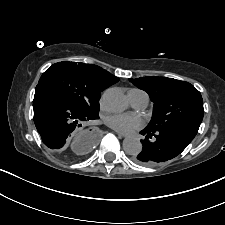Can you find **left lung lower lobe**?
<instances>
[{"label":"left lung lower lobe","instance_id":"0a47b994","mask_svg":"<svg viewBox=\"0 0 225 225\" xmlns=\"http://www.w3.org/2000/svg\"><path fill=\"white\" fill-rule=\"evenodd\" d=\"M198 124H184L159 132L143 129L140 134L142 151L134 157L137 163L157 166L178 156L193 140L199 129ZM154 137L153 140H150Z\"/></svg>","mask_w":225,"mask_h":225}]
</instances>
